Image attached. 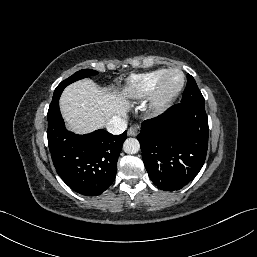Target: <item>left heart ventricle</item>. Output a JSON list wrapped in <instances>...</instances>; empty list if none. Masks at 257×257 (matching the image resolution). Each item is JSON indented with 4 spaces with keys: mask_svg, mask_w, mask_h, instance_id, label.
Segmentation results:
<instances>
[{
    "mask_svg": "<svg viewBox=\"0 0 257 257\" xmlns=\"http://www.w3.org/2000/svg\"><path fill=\"white\" fill-rule=\"evenodd\" d=\"M181 82V76L178 73L171 74L166 81V88L168 90L176 89Z\"/></svg>",
    "mask_w": 257,
    "mask_h": 257,
    "instance_id": "obj_1",
    "label": "left heart ventricle"
}]
</instances>
